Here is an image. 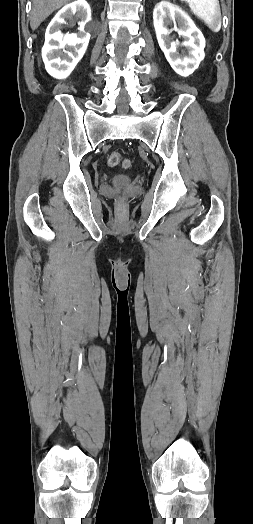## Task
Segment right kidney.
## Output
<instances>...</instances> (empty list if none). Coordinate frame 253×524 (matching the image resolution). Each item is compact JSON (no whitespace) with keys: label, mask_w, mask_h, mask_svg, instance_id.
I'll return each mask as SVG.
<instances>
[{"label":"right kidney","mask_w":253,"mask_h":524,"mask_svg":"<svg viewBox=\"0 0 253 524\" xmlns=\"http://www.w3.org/2000/svg\"><path fill=\"white\" fill-rule=\"evenodd\" d=\"M79 20V32L63 34L66 20ZM91 21V10L85 0H77L63 7L52 19L45 33L42 58L47 72L54 78L64 79L70 75L86 52L90 34L86 25Z\"/></svg>","instance_id":"right-kidney-1"}]
</instances>
